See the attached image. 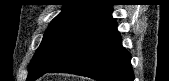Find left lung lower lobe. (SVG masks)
I'll return each instance as SVG.
<instances>
[{
    "mask_svg": "<svg viewBox=\"0 0 169 81\" xmlns=\"http://www.w3.org/2000/svg\"><path fill=\"white\" fill-rule=\"evenodd\" d=\"M111 13L112 8L79 32L46 73H70L97 81H133L131 56L122 46Z\"/></svg>",
    "mask_w": 169,
    "mask_h": 81,
    "instance_id": "0a47b994",
    "label": "left lung lower lobe"
}]
</instances>
